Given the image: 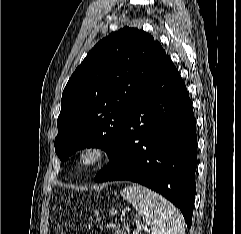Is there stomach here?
<instances>
[{
	"instance_id": "1",
	"label": "stomach",
	"mask_w": 241,
	"mask_h": 234,
	"mask_svg": "<svg viewBox=\"0 0 241 234\" xmlns=\"http://www.w3.org/2000/svg\"><path fill=\"white\" fill-rule=\"evenodd\" d=\"M110 214H111L112 216L116 214V211H115L114 208H111V210H110Z\"/></svg>"
}]
</instances>
